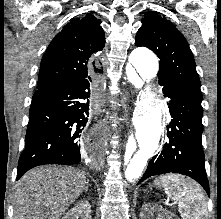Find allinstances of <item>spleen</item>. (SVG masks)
Wrapping results in <instances>:
<instances>
[{"label": "spleen", "mask_w": 221, "mask_h": 219, "mask_svg": "<svg viewBox=\"0 0 221 219\" xmlns=\"http://www.w3.org/2000/svg\"><path fill=\"white\" fill-rule=\"evenodd\" d=\"M155 184L164 188L169 196L178 200L183 219H207L208 209L200 186L184 176L169 174L155 180Z\"/></svg>", "instance_id": "spleen-1"}]
</instances>
